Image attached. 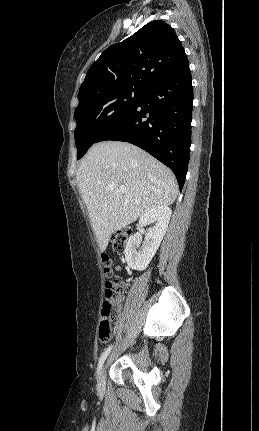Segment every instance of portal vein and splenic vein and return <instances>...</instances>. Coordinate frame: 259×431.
<instances>
[{"label": "portal vein and splenic vein", "instance_id": "portal-vein-and-splenic-vein-1", "mask_svg": "<svg viewBox=\"0 0 259 431\" xmlns=\"http://www.w3.org/2000/svg\"><path fill=\"white\" fill-rule=\"evenodd\" d=\"M127 191H128V189L126 187H124V186L120 187V192L125 193Z\"/></svg>", "mask_w": 259, "mask_h": 431}]
</instances>
